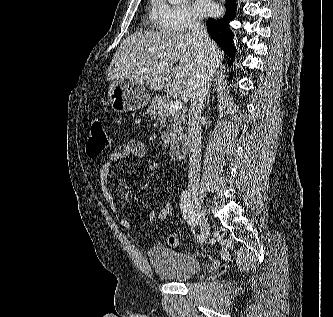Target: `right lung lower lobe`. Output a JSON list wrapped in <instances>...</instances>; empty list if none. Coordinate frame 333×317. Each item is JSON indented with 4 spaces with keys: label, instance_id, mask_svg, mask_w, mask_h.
Listing matches in <instances>:
<instances>
[{
    "label": "right lung lower lobe",
    "instance_id": "98d812e1",
    "mask_svg": "<svg viewBox=\"0 0 333 317\" xmlns=\"http://www.w3.org/2000/svg\"><path fill=\"white\" fill-rule=\"evenodd\" d=\"M226 12L220 19H208L207 30L209 31L212 39L229 55L234 58L236 48L232 44V31L229 28V22L233 20L236 11L235 0H226Z\"/></svg>",
    "mask_w": 333,
    "mask_h": 317
}]
</instances>
